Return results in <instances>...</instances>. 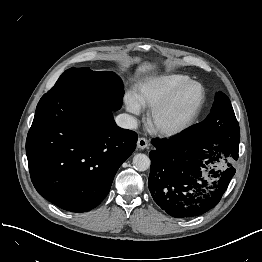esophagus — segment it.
<instances>
[{"label":"esophagus","instance_id":"1","mask_svg":"<svg viewBox=\"0 0 262 262\" xmlns=\"http://www.w3.org/2000/svg\"><path fill=\"white\" fill-rule=\"evenodd\" d=\"M137 147L139 149H145L148 147V140L144 137H140L138 138V141H137Z\"/></svg>","mask_w":262,"mask_h":262}]
</instances>
